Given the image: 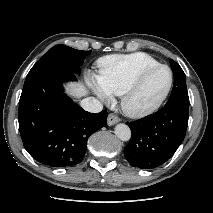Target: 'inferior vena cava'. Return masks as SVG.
<instances>
[{"label":"inferior vena cava","instance_id":"inferior-vena-cava-1","mask_svg":"<svg viewBox=\"0 0 213 213\" xmlns=\"http://www.w3.org/2000/svg\"><path fill=\"white\" fill-rule=\"evenodd\" d=\"M80 105L84 110L92 113H98L103 109L102 103L94 97H87L83 99Z\"/></svg>","mask_w":213,"mask_h":213}]
</instances>
